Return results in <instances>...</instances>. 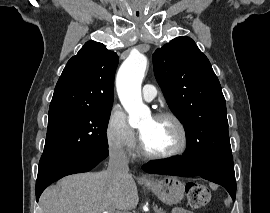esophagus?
I'll list each match as a JSON object with an SVG mask.
<instances>
[{
  "label": "esophagus",
  "instance_id": "1",
  "mask_svg": "<svg viewBox=\"0 0 270 213\" xmlns=\"http://www.w3.org/2000/svg\"><path fill=\"white\" fill-rule=\"evenodd\" d=\"M140 180H141V181H146L147 178H146L145 176H142V177L140 178Z\"/></svg>",
  "mask_w": 270,
  "mask_h": 213
}]
</instances>
